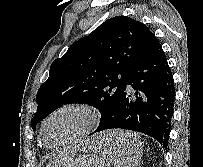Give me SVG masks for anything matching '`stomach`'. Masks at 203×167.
I'll return each mask as SVG.
<instances>
[{
	"label": "stomach",
	"instance_id": "stomach-1",
	"mask_svg": "<svg viewBox=\"0 0 203 167\" xmlns=\"http://www.w3.org/2000/svg\"><path fill=\"white\" fill-rule=\"evenodd\" d=\"M102 136L103 135L93 140L94 146L92 147V151L100 153V144L95 143L99 141ZM131 156H133V153H131ZM107 162H110L109 158L102 153L99 156L97 154H88L80 156L77 159L71 161L68 167H106Z\"/></svg>",
	"mask_w": 203,
	"mask_h": 167
}]
</instances>
